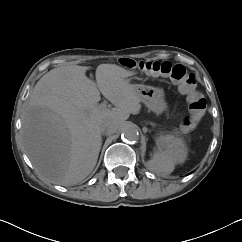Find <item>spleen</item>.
<instances>
[{"mask_svg":"<svg viewBox=\"0 0 242 242\" xmlns=\"http://www.w3.org/2000/svg\"><path fill=\"white\" fill-rule=\"evenodd\" d=\"M184 159L185 158H182L179 154L173 152H155L150 161V166L158 173L169 174L173 172L175 164L177 162H182Z\"/></svg>","mask_w":242,"mask_h":242,"instance_id":"spleen-1","label":"spleen"}]
</instances>
